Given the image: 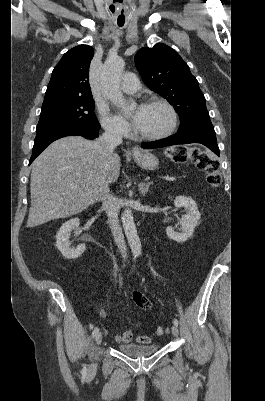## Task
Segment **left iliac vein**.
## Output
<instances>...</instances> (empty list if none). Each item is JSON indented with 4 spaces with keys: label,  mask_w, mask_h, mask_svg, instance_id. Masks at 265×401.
Returning a JSON list of instances; mask_svg holds the SVG:
<instances>
[{
    "label": "left iliac vein",
    "mask_w": 265,
    "mask_h": 401,
    "mask_svg": "<svg viewBox=\"0 0 265 401\" xmlns=\"http://www.w3.org/2000/svg\"><path fill=\"white\" fill-rule=\"evenodd\" d=\"M171 330H172L173 336L178 337V334H179L178 327H177L176 325H173V326L171 327Z\"/></svg>",
    "instance_id": "left-iliac-vein-1"
}]
</instances>
